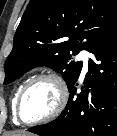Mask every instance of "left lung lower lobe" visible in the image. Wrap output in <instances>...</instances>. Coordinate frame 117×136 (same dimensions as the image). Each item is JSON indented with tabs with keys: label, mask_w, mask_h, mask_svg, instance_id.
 I'll use <instances>...</instances> for the list:
<instances>
[{
	"label": "left lung lower lobe",
	"mask_w": 117,
	"mask_h": 136,
	"mask_svg": "<svg viewBox=\"0 0 117 136\" xmlns=\"http://www.w3.org/2000/svg\"><path fill=\"white\" fill-rule=\"evenodd\" d=\"M88 73L80 93L68 86L65 109L54 121L29 128L42 136H117V22L90 49Z\"/></svg>",
	"instance_id": "1"
}]
</instances>
